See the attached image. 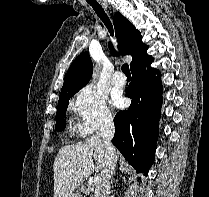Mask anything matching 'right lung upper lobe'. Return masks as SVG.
<instances>
[{
	"label": "right lung upper lobe",
	"mask_w": 209,
	"mask_h": 197,
	"mask_svg": "<svg viewBox=\"0 0 209 197\" xmlns=\"http://www.w3.org/2000/svg\"><path fill=\"white\" fill-rule=\"evenodd\" d=\"M113 23L116 30V36L119 41V50L122 55L131 54L132 62L130 68H133L140 62L151 57L147 54L148 46L142 42V36L138 30L129 22L121 13L116 12L113 17ZM114 55L115 53L112 44H109ZM92 75V62L88 53H81L71 64L68 69L64 84L61 89L60 97L70 90L82 88L85 86ZM59 97V98H60Z\"/></svg>",
	"instance_id": "right-lung-upper-lobe-1"
}]
</instances>
